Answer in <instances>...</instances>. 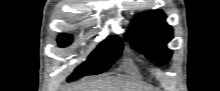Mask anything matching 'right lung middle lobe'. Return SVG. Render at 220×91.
<instances>
[{
    "mask_svg": "<svg viewBox=\"0 0 220 91\" xmlns=\"http://www.w3.org/2000/svg\"><path fill=\"white\" fill-rule=\"evenodd\" d=\"M70 35H61L58 38L59 45L64 47L70 44ZM123 45L118 37L110 36L95 49L87 61L75 69L68 77V82L87 75H96L108 70L111 64L120 56Z\"/></svg>",
    "mask_w": 220,
    "mask_h": 91,
    "instance_id": "right-lung-middle-lobe-1",
    "label": "right lung middle lobe"
}]
</instances>
